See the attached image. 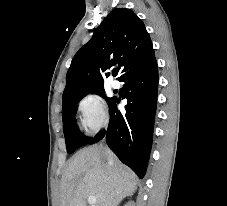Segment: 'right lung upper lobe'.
Instances as JSON below:
<instances>
[{
  "label": "right lung upper lobe",
  "mask_w": 227,
  "mask_h": 206,
  "mask_svg": "<svg viewBox=\"0 0 227 206\" xmlns=\"http://www.w3.org/2000/svg\"><path fill=\"white\" fill-rule=\"evenodd\" d=\"M153 57L152 41L141 19L130 9L116 8L73 57L62 99L104 87L107 70L114 65L120 80Z\"/></svg>",
  "instance_id": "1"
}]
</instances>
